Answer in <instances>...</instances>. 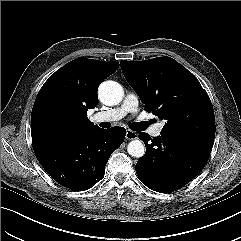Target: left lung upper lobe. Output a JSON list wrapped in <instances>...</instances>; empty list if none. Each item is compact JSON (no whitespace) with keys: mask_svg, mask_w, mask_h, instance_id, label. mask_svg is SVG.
<instances>
[{"mask_svg":"<svg viewBox=\"0 0 241 241\" xmlns=\"http://www.w3.org/2000/svg\"><path fill=\"white\" fill-rule=\"evenodd\" d=\"M122 72L147 111L166 120L161 132L213 144L215 117L198 79L170 57L120 61Z\"/></svg>","mask_w":241,"mask_h":241,"instance_id":"left-lung-upper-lobe-1","label":"left lung upper lobe"}]
</instances>
